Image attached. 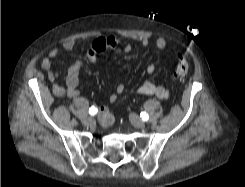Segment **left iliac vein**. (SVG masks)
Returning a JSON list of instances; mask_svg holds the SVG:
<instances>
[{"mask_svg": "<svg viewBox=\"0 0 245 187\" xmlns=\"http://www.w3.org/2000/svg\"><path fill=\"white\" fill-rule=\"evenodd\" d=\"M129 119H130V121H131V123L133 124L134 127L139 128V129L145 128V122L142 121V120L137 116V114H135V113H130Z\"/></svg>", "mask_w": 245, "mask_h": 187, "instance_id": "left-iliac-vein-1", "label": "left iliac vein"}]
</instances>
